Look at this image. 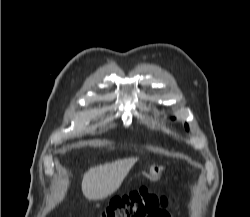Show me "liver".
Here are the masks:
<instances>
[{
    "label": "liver",
    "instance_id": "6515ba94",
    "mask_svg": "<svg viewBox=\"0 0 250 217\" xmlns=\"http://www.w3.org/2000/svg\"><path fill=\"white\" fill-rule=\"evenodd\" d=\"M138 158H127L90 168L83 176V195L92 201L103 200L116 192Z\"/></svg>",
    "mask_w": 250,
    "mask_h": 217
}]
</instances>
